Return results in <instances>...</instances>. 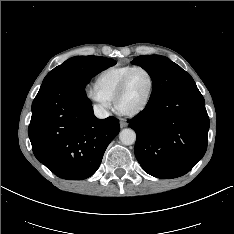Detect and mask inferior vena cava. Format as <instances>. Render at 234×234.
Wrapping results in <instances>:
<instances>
[{
  "mask_svg": "<svg viewBox=\"0 0 234 234\" xmlns=\"http://www.w3.org/2000/svg\"><path fill=\"white\" fill-rule=\"evenodd\" d=\"M94 114L97 118L104 119L109 117V112L100 104L94 105Z\"/></svg>",
  "mask_w": 234,
  "mask_h": 234,
  "instance_id": "obj_1",
  "label": "inferior vena cava"
}]
</instances>
